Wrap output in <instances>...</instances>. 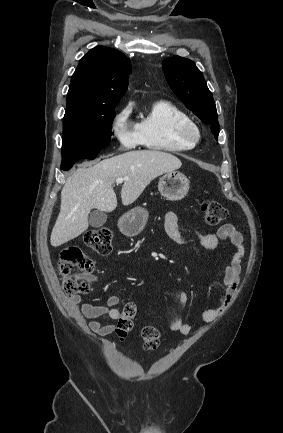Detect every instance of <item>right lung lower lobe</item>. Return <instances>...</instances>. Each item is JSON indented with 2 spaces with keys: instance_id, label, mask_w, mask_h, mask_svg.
<instances>
[{
  "instance_id": "right-lung-lower-lobe-1",
  "label": "right lung lower lobe",
  "mask_w": 283,
  "mask_h": 433,
  "mask_svg": "<svg viewBox=\"0 0 283 433\" xmlns=\"http://www.w3.org/2000/svg\"><path fill=\"white\" fill-rule=\"evenodd\" d=\"M96 153H85V152H72L67 154H62V164L61 169L64 171L69 170L73 164L82 158L94 159Z\"/></svg>"
}]
</instances>
